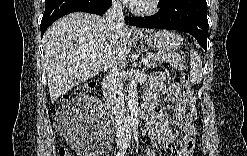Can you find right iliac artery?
Segmentation results:
<instances>
[{
	"mask_svg": "<svg viewBox=\"0 0 247 156\" xmlns=\"http://www.w3.org/2000/svg\"><path fill=\"white\" fill-rule=\"evenodd\" d=\"M130 130V129H129ZM128 130L129 135L126 138V142L123 144V146L121 147L120 151L118 152L117 156H123L125 154V151L128 147V143L131 140V132Z\"/></svg>",
	"mask_w": 247,
	"mask_h": 156,
	"instance_id": "1",
	"label": "right iliac artery"
}]
</instances>
